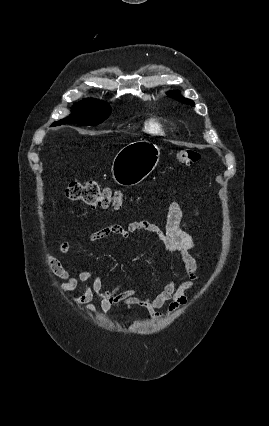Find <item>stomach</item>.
<instances>
[{
	"instance_id": "1",
	"label": "stomach",
	"mask_w": 269,
	"mask_h": 426,
	"mask_svg": "<svg viewBox=\"0 0 269 426\" xmlns=\"http://www.w3.org/2000/svg\"><path fill=\"white\" fill-rule=\"evenodd\" d=\"M160 148L147 140H139L123 147L115 156L111 172L121 186L142 182L157 166Z\"/></svg>"
}]
</instances>
